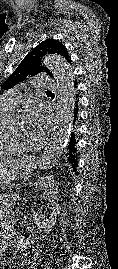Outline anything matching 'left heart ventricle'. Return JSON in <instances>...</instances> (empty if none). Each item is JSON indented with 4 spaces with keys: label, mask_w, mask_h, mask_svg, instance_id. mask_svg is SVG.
<instances>
[{
    "label": "left heart ventricle",
    "mask_w": 118,
    "mask_h": 269,
    "mask_svg": "<svg viewBox=\"0 0 118 269\" xmlns=\"http://www.w3.org/2000/svg\"><path fill=\"white\" fill-rule=\"evenodd\" d=\"M12 130L15 134L26 137L28 134L26 132V123L24 118L19 117L17 118L12 125Z\"/></svg>",
    "instance_id": "b2bd125f"
}]
</instances>
